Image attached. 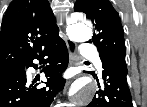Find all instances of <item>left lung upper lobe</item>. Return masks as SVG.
Wrapping results in <instances>:
<instances>
[{"mask_svg": "<svg viewBox=\"0 0 147 107\" xmlns=\"http://www.w3.org/2000/svg\"><path fill=\"white\" fill-rule=\"evenodd\" d=\"M76 12H83L94 25L92 42L103 56L111 52H125L123 27L118 13L108 0H77Z\"/></svg>", "mask_w": 147, "mask_h": 107, "instance_id": "left-lung-upper-lobe-1", "label": "left lung upper lobe"}]
</instances>
